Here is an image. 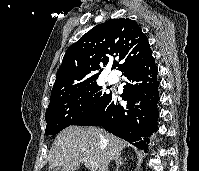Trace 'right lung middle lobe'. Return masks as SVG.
Segmentation results:
<instances>
[{"label": "right lung middle lobe", "mask_w": 199, "mask_h": 171, "mask_svg": "<svg viewBox=\"0 0 199 171\" xmlns=\"http://www.w3.org/2000/svg\"><path fill=\"white\" fill-rule=\"evenodd\" d=\"M96 81L85 84L70 95L48 106L45 113L47 135H56L90 112L108 95L101 92Z\"/></svg>", "instance_id": "right-lung-middle-lobe-1"}]
</instances>
